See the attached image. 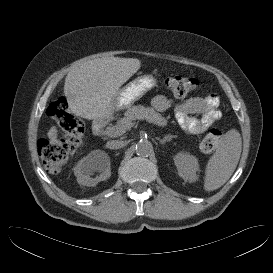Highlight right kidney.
<instances>
[{
	"mask_svg": "<svg viewBox=\"0 0 273 273\" xmlns=\"http://www.w3.org/2000/svg\"><path fill=\"white\" fill-rule=\"evenodd\" d=\"M109 157L102 153L99 155L89 154L83 158L75 169V175L79 184L84 186H95L99 181L110 176ZM99 172L96 178H90L94 172Z\"/></svg>",
	"mask_w": 273,
	"mask_h": 273,
	"instance_id": "obj_1",
	"label": "right kidney"
}]
</instances>
